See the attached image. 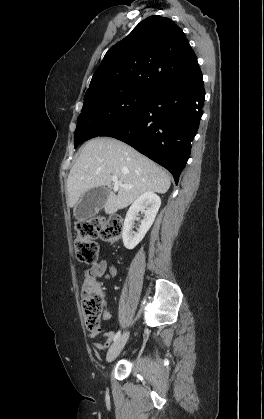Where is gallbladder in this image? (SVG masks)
Returning <instances> with one entry per match:
<instances>
[{"label":"gallbladder","mask_w":264,"mask_h":419,"mask_svg":"<svg viewBox=\"0 0 264 419\" xmlns=\"http://www.w3.org/2000/svg\"><path fill=\"white\" fill-rule=\"evenodd\" d=\"M108 194V190L104 186L96 187L85 192L74 208L75 218L85 221L95 216L103 208Z\"/></svg>","instance_id":"1"}]
</instances>
